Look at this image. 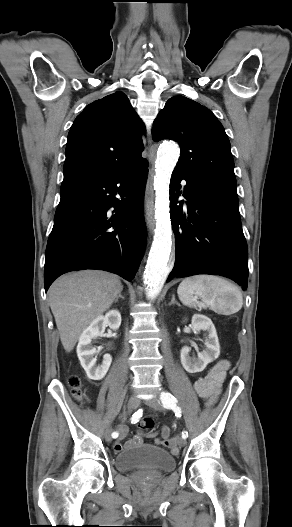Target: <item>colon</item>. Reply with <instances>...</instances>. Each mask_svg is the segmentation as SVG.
<instances>
[{
  "mask_svg": "<svg viewBox=\"0 0 292 527\" xmlns=\"http://www.w3.org/2000/svg\"><path fill=\"white\" fill-rule=\"evenodd\" d=\"M68 385L71 389V393L77 400H82L84 398V391L82 383L77 376H71L68 379ZM138 427L142 431H149L154 427V420L152 417H144L138 424Z\"/></svg>",
  "mask_w": 292,
  "mask_h": 527,
  "instance_id": "1",
  "label": "colon"
}]
</instances>
